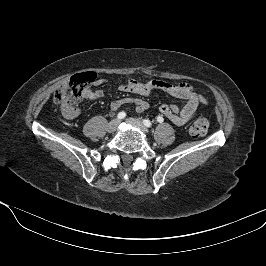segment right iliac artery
<instances>
[{"label": "right iliac artery", "mask_w": 266, "mask_h": 266, "mask_svg": "<svg viewBox=\"0 0 266 266\" xmlns=\"http://www.w3.org/2000/svg\"><path fill=\"white\" fill-rule=\"evenodd\" d=\"M126 117V113L125 112H120V113H118V115H117V118L118 119H124Z\"/></svg>", "instance_id": "right-iliac-artery-1"}]
</instances>
